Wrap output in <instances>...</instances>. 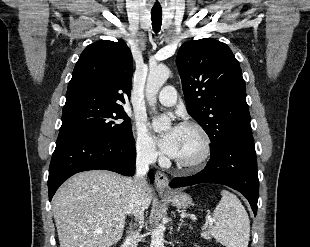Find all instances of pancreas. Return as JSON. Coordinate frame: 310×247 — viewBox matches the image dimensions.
I'll use <instances>...</instances> for the list:
<instances>
[{"mask_svg": "<svg viewBox=\"0 0 310 247\" xmlns=\"http://www.w3.org/2000/svg\"><path fill=\"white\" fill-rule=\"evenodd\" d=\"M202 237L205 238L206 240H210L211 239V236H210V233L209 232H204L202 234Z\"/></svg>", "mask_w": 310, "mask_h": 247, "instance_id": "pancreas-1", "label": "pancreas"}]
</instances>
